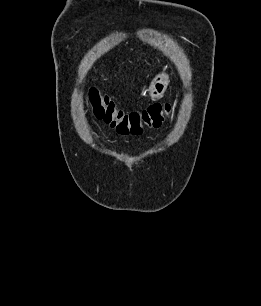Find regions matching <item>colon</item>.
Wrapping results in <instances>:
<instances>
[{
    "instance_id": "colon-1",
    "label": "colon",
    "mask_w": 261,
    "mask_h": 306,
    "mask_svg": "<svg viewBox=\"0 0 261 306\" xmlns=\"http://www.w3.org/2000/svg\"><path fill=\"white\" fill-rule=\"evenodd\" d=\"M88 102L93 116L107 123L119 135H140L146 128H158L171 112V105L153 104L142 111L124 112L103 97L97 89L88 91Z\"/></svg>"
}]
</instances>
